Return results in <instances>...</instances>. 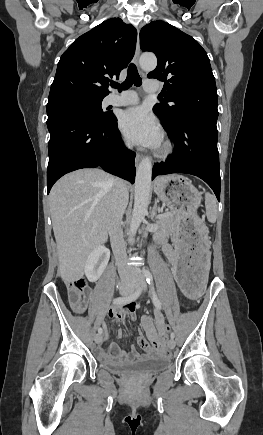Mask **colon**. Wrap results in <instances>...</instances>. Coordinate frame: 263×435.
Masks as SVG:
<instances>
[{
  "label": "colon",
  "instance_id": "5ec220e1",
  "mask_svg": "<svg viewBox=\"0 0 263 435\" xmlns=\"http://www.w3.org/2000/svg\"><path fill=\"white\" fill-rule=\"evenodd\" d=\"M68 297L72 309L77 313H82L86 309L87 299V283L85 280L79 279L67 283ZM171 324H166L165 333L171 335ZM150 343L152 341L149 339ZM164 341V340H163Z\"/></svg>",
  "mask_w": 263,
  "mask_h": 435
}]
</instances>
